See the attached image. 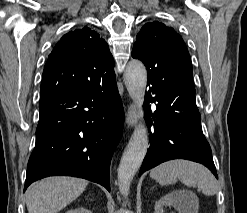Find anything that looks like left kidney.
Returning a JSON list of instances; mask_svg holds the SVG:
<instances>
[{
	"label": "left kidney",
	"instance_id": "left-kidney-1",
	"mask_svg": "<svg viewBox=\"0 0 247 213\" xmlns=\"http://www.w3.org/2000/svg\"><path fill=\"white\" fill-rule=\"evenodd\" d=\"M164 206H172L179 213H198V200L190 191L180 190L165 195L156 201L154 213H164Z\"/></svg>",
	"mask_w": 247,
	"mask_h": 213
}]
</instances>
